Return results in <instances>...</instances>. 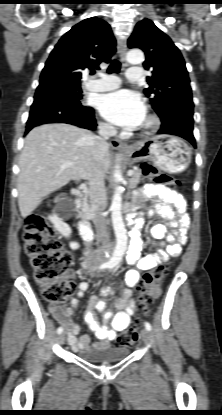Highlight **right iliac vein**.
<instances>
[{
    "label": "right iliac vein",
    "mask_w": 222,
    "mask_h": 415,
    "mask_svg": "<svg viewBox=\"0 0 222 415\" xmlns=\"http://www.w3.org/2000/svg\"><path fill=\"white\" fill-rule=\"evenodd\" d=\"M58 341L61 345L64 344V342H65V333H62V334L59 335Z\"/></svg>",
    "instance_id": "right-iliac-vein-1"
}]
</instances>
